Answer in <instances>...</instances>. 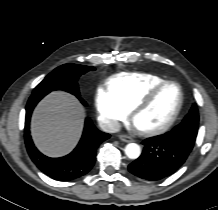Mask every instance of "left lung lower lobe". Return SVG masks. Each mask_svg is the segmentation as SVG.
Instances as JSON below:
<instances>
[{
  "instance_id": "1",
  "label": "left lung lower lobe",
  "mask_w": 218,
  "mask_h": 210,
  "mask_svg": "<svg viewBox=\"0 0 218 210\" xmlns=\"http://www.w3.org/2000/svg\"><path fill=\"white\" fill-rule=\"evenodd\" d=\"M174 135H159L143 141L141 156L132 162L129 171L146 180H160L177 171L191 152L194 140L188 128H177Z\"/></svg>"
}]
</instances>
